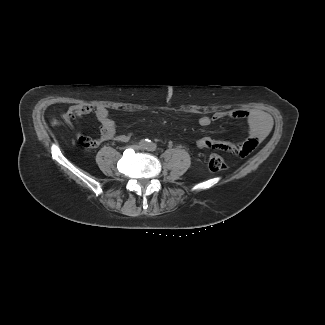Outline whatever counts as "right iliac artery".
<instances>
[{
  "instance_id": "82829eb1",
  "label": "right iliac artery",
  "mask_w": 325,
  "mask_h": 325,
  "mask_svg": "<svg viewBox=\"0 0 325 325\" xmlns=\"http://www.w3.org/2000/svg\"><path fill=\"white\" fill-rule=\"evenodd\" d=\"M148 142H149V140L145 139V140H142L139 144L142 148H145L148 145Z\"/></svg>"
}]
</instances>
